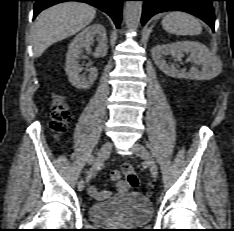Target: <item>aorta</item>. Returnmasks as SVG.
<instances>
[{"instance_id":"aorta-1","label":"aorta","mask_w":234,"mask_h":231,"mask_svg":"<svg viewBox=\"0 0 234 231\" xmlns=\"http://www.w3.org/2000/svg\"><path fill=\"white\" fill-rule=\"evenodd\" d=\"M142 1H127L124 8V21L129 29L138 28L142 14Z\"/></svg>"}]
</instances>
